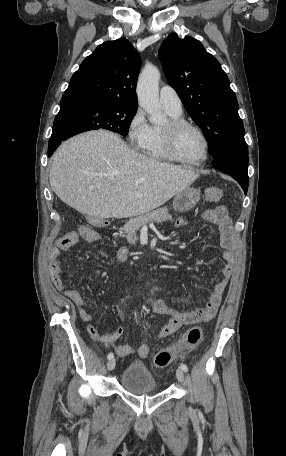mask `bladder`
Wrapping results in <instances>:
<instances>
[{
  "mask_svg": "<svg viewBox=\"0 0 286 456\" xmlns=\"http://www.w3.org/2000/svg\"><path fill=\"white\" fill-rule=\"evenodd\" d=\"M121 386L135 394L155 393L158 391L156 380L147 367L139 362L131 363L122 373Z\"/></svg>",
  "mask_w": 286,
  "mask_h": 456,
  "instance_id": "obj_1",
  "label": "bladder"
}]
</instances>
